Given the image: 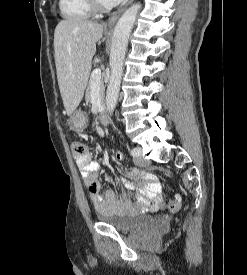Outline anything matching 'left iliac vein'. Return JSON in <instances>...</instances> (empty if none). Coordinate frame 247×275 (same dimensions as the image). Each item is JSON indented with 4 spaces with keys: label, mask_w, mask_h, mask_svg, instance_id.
Masks as SVG:
<instances>
[{
    "label": "left iliac vein",
    "mask_w": 247,
    "mask_h": 275,
    "mask_svg": "<svg viewBox=\"0 0 247 275\" xmlns=\"http://www.w3.org/2000/svg\"><path fill=\"white\" fill-rule=\"evenodd\" d=\"M134 149L137 151L135 163L140 167H147L149 162L142 157V149L140 147H135Z\"/></svg>",
    "instance_id": "left-iliac-vein-1"
}]
</instances>
